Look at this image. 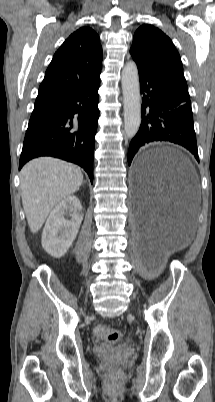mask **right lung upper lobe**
Masks as SVG:
<instances>
[{"label": "right lung upper lobe", "instance_id": "obj_1", "mask_svg": "<svg viewBox=\"0 0 215 402\" xmlns=\"http://www.w3.org/2000/svg\"><path fill=\"white\" fill-rule=\"evenodd\" d=\"M102 47L89 27L72 33L56 51L46 70L35 103H54L63 96L92 83L100 76Z\"/></svg>", "mask_w": 215, "mask_h": 402}]
</instances>
